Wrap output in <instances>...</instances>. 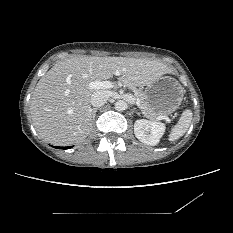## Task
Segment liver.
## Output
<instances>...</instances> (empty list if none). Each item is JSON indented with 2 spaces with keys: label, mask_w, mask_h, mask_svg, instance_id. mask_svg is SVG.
I'll return each instance as SVG.
<instances>
[{
  "label": "liver",
  "mask_w": 233,
  "mask_h": 233,
  "mask_svg": "<svg viewBox=\"0 0 233 233\" xmlns=\"http://www.w3.org/2000/svg\"><path fill=\"white\" fill-rule=\"evenodd\" d=\"M167 73L171 69L158 60L76 56L59 61L39 80L31 97L34 127L51 144L78 143L93 125L91 96L98 89H91V82L117 75L126 86L142 87Z\"/></svg>",
  "instance_id": "1"
}]
</instances>
